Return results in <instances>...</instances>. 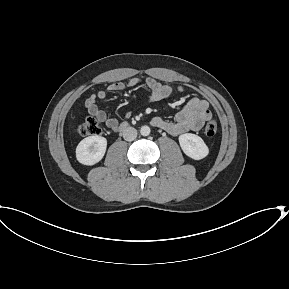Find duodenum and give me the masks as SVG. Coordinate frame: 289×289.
Wrapping results in <instances>:
<instances>
[{
	"mask_svg": "<svg viewBox=\"0 0 289 289\" xmlns=\"http://www.w3.org/2000/svg\"><path fill=\"white\" fill-rule=\"evenodd\" d=\"M128 128V124H122L120 130L125 131Z\"/></svg>",
	"mask_w": 289,
	"mask_h": 289,
	"instance_id": "obj_1",
	"label": "duodenum"
}]
</instances>
